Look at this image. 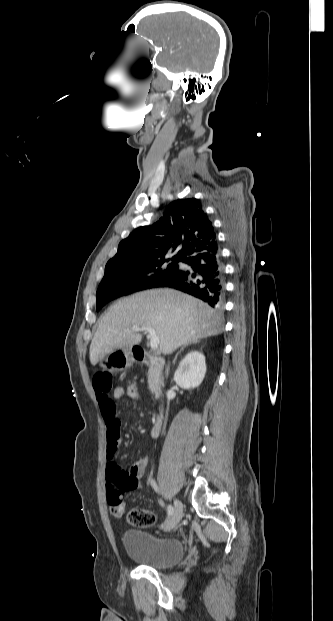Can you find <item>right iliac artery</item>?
I'll use <instances>...</instances> for the list:
<instances>
[{
  "mask_svg": "<svg viewBox=\"0 0 333 621\" xmlns=\"http://www.w3.org/2000/svg\"><path fill=\"white\" fill-rule=\"evenodd\" d=\"M149 482L151 483V485L154 488V490L158 491V488H157V485H156L155 481L153 479H151L150 477H149ZM173 512H174V508L171 505H168L167 506L168 516H171L173 514Z\"/></svg>",
  "mask_w": 333,
  "mask_h": 621,
  "instance_id": "1",
  "label": "right iliac artery"
}]
</instances>
